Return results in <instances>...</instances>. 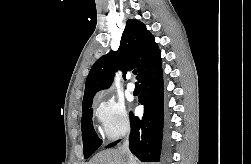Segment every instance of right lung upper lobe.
Returning a JSON list of instances; mask_svg holds the SVG:
<instances>
[{"label":"right lung upper lobe","mask_w":251,"mask_h":164,"mask_svg":"<svg viewBox=\"0 0 251 164\" xmlns=\"http://www.w3.org/2000/svg\"><path fill=\"white\" fill-rule=\"evenodd\" d=\"M160 64V50L153 35L142 22L129 19L119 49L102 56L92 66L85 84L82 108L92 103L97 91L110 87L118 69L122 70L124 78L127 71L137 68L139 81Z\"/></svg>","instance_id":"obj_1"}]
</instances>
